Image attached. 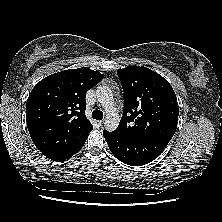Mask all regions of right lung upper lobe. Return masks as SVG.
<instances>
[{"label":"right lung upper lobe","mask_w":222,"mask_h":222,"mask_svg":"<svg viewBox=\"0 0 222 222\" xmlns=\"http://www.w3.org/2000/svg\"><path fill=\"white\" fill-rule=\"evenodd\" d=\"M102 79L99 72L82 67L52 74L34 86L26 121L43 154L67 151L86 141L93 126L85 115V95Z\"/></svg>","instance_id":"obj_1"}]
</instances>
